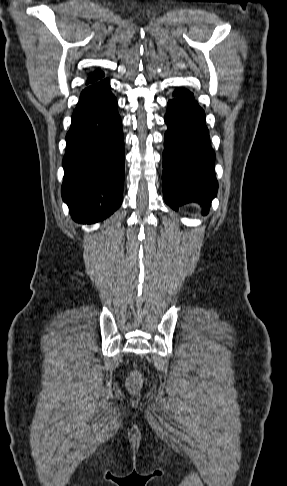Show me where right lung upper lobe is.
Masks as SVG:
<instances>
[{
    "label": "right lung upper lobe",
    "mask_w": 287,
    "mask_h": 486,
    "mask_svg": "<svg viewBox=\"0 0 287 486\" xmlns=\"http://www.w3.org/2000/svg\"><path fill=\"white\" fill-rule=\"evenodd\" d=\"M103 76H104V73L102 71H96V72L90 73L89 76H88V79H87V84L98 81V80L102 79Z\"/></svg>",
    "instance_id": "1"
}]
</instances>
